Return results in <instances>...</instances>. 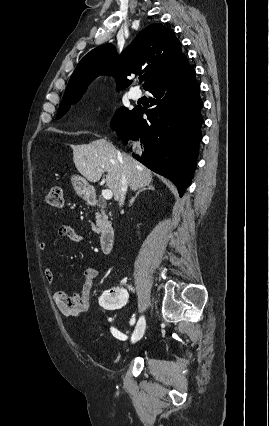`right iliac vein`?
Listing matches in <instances>:
<instances>
[{
    "instance_id": "63e3f726",
    "label": "right iliac vein",
    "mask_w": 269,
    "mask_h": 426,
    "mask_svg": "<svg viewBox=\"0 0 269 426\" xmlns=\"http://www.w3.org/2000/svg\"><path fill=\"white\" fill-rule=\"evenodd\" d=\"M146 328V320L144 316H141L136 324V327L133 331L131 342L136 343L138 340H140L145 332Z\"/></svg>"
}]
</instances>
